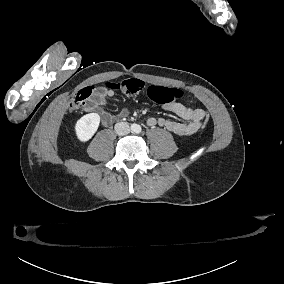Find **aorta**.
Masks as SVG:
<instances>
[{
    "mask_svg": "<svg viewBox=\"0 0 284 284\" xmlns=\"http://www.w3.org/2000/svg\"><path fill=\"white\" fill-rule=\"evenodd\" d=\"M139 130H140V126L139 125H135L134 131H139Z\"/></svg>",
    "mask_w": 284,
    "mask_h": 284,
    "instance_id": "aorta-1",
    "label": "aorta"
}]
</instances>
